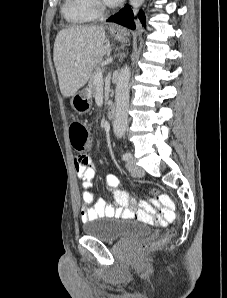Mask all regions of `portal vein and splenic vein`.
I'll list each match as a JSON object with an SVG mask.
<instances>
[{
    "label": "portal vein and splenic vein",
    "instance_id": "1",
    "mask_svg": "<svg viewBox=\"0 0 227 298\" xmlns=\"http://www.w3.org/2000/svg\"><path fill=\"white\" fill-rule=\"evenodd\" d=\"M95 83L97 84V86H102L103 85V75H102V73H100L96 76Z\"/></svg>",
    "mask_w": 227,
    "mask_h": 298
}]
</instances>
